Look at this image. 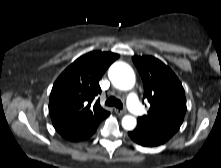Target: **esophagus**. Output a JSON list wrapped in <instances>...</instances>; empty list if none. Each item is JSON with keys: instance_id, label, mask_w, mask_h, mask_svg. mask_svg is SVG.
<instances>
[{"instance_id": "1", "label": "esophagus", "mask_w": 221, "mask_h": 168, "mask_svg": "<svg viewBox=\"0 0 221 168\" xmlns=\"http://www.w3.org/2000/svg\"><path fill=\"white\" fill-rule=\"evenodd\" d=\"M115 113L118 115H124V114H126V110H120V109L115 108Z\"/></svg>"}]
</instances>
